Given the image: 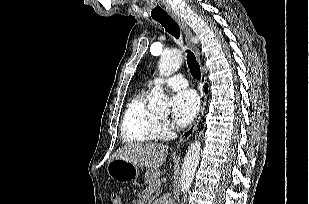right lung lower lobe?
<instances>
[{
  "instance_id": "98d812e1",
  "label": "right lung lower lobe",
  "mask_w": 309,
  "mask_h": 204,
  "mask_svg": "<svg viewBox=\"0 0 309 204\" xmlns=\"http://www.w3.org/2000/svg\"><path fill=\"white\" fill-rule=\"evenodd\" d=\"M205 92H207V84H205Z\"/></svg>"
}]
</instances>
